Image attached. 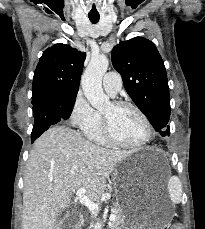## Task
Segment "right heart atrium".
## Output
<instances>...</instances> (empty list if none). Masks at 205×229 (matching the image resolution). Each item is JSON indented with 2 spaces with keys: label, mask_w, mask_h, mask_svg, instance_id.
I'll list each match as a JSON object with an SVG mask.
<instances>
[{
  "label": "right heart atrium",
  "mask_w": 205,
  "mask_h": 229,
  "mask_svg": "<svg viewBox=\"0 0 205 229\" xmlns=\"http://www.w3.org/2000/svg\"><path fill=\"white\" fill-rule=\"evenodd\" d=\"M97 116V112L91 107L83 93L77 92L69 113L71 124L85 131L96 122Z\"/></svg>",
  "instance_id": "d8ad5b80"
}]
</instances>
